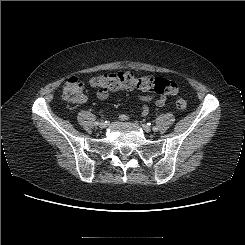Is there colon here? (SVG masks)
I'll use <instances>...</instances> for the list:
<instances>
[{
	"label": "colon",
	"instance_id": "1",
	"mask_svg": "<svg viewBox=\"0 0 245 245\" xmlns=\"http://www.w3.org/2000/svg\"><path fill=\"white\" fill-rule=\"evenodd\" d=\"M91 85L101 91L110 92L119 89H139L151 91L159 95H175L178 92L177 84L162 77H138L131 72H116L95 76ZM84 85L77 77L69 78L63 87V97L66 101L76 103L84 97ZM176 107L184 110L187 102L183 99L176 101Z\"/></svg>",
	"mask_w": 245,
	"mask_h": 245
}]
</instances>
